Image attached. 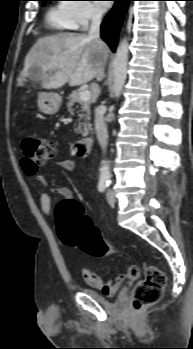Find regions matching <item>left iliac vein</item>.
Returning a JSON list of instances; mask_svg holds the SVG:
<instances>
[{
	"label": "left iliac vein",
	"instance_id": "1",
	"mask_svg": "<svg viewBox=\"0 0 193 349\" xmlns=\"http://www.w3.org/2000/svg\"><path fill=\"white\" fill-rule=\"evenodd\" d=\"M107 201L109 204L113 205L115 204L116 198H115V194L113 191L109 190L107 192Z\"/></svg>",
	"mask_w": 193,
	"mask_h": 349
}]
</instances>
